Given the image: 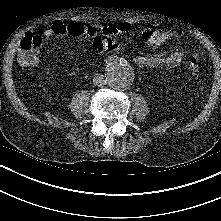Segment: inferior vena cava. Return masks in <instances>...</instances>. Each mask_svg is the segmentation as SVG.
<instances>
[{
	"instance_id": "inferior-vena-cava-1",
	"label": "inferior vena cava",
	"mask_w": 221,
	"mask_h": 221,
	"mask_svg": "<svg viewBox=\"0 0 221 221\" xmlns=\"http://www.w3.org/2000/svg\"><path fill=\"white\" fill-rule=\"evenodd\" d=\"M93 84L98 87L104 86L106 84V80H105L104 75H102L100 73L96 74L93 79Z\"/></svg>"
}]
</instances>
